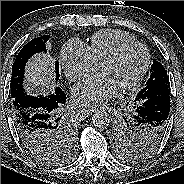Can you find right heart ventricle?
<instances>
[{"label":"right heart ventricle","instance_id":"obj_1","mask_svg":"<svg viewBox=\"0 0 184 184\" xmlns=\"http://www.w3.org/2000/svg\"><path fill=\"white\" fill-rule=\"evenodd\" d=\"M136 41L130 34L120 30H103L95 33L88 45L93 61L98 64L101 59L113 52L123 43Z\"/></svg>","mask_w":184,"mask_h":184}]
</instances>
